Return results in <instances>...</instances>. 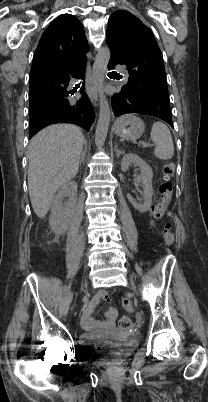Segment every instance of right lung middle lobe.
Wrapping results in <instances>:
<instances>
[{
	"label": "right lung middle lobe",
	"instance_id": "dd1d6c3e",
	"mask_svg": "<svg viewBox=\"0 0 208 402\" xmlns=\"http://www.w3.org/2000/svg\"><path fill=\"white\" fill-rule=\"evenodd\" d=\"M45 98H52L44 93L30 92L29 94V108L30 116L35 115L38 111L45 110Z\"/></svg>",
	"mask_w": 208,
	"mask_h": 402
}]
</instances>
